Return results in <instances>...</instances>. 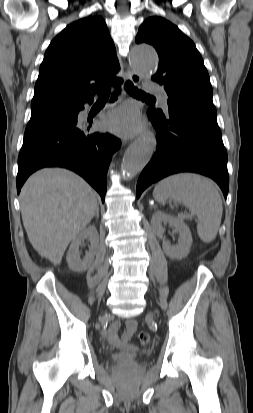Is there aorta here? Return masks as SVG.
Listing matches in <instances>:
<instances>
[{
	"label": "aorta",
	"instance_id": "aorta-1",
	"mask_svg": "<svg viewBox=\"0 0 253 413\" xmlns=\"http://www.w3.org/2000/svg\"><path fill=\"white\" fill-rule=\"evenodd\" d=\"M130 59L134 70L141 75L150 76L157 70V53L148 44L135 45L131 50ZM154 148L155 140L153 136H146L127 149L122 161V168L129 177H134L147 165Z\"/></svg>",
	"mask_w": 253,
	"mask_h": 413
}]
</instances>
